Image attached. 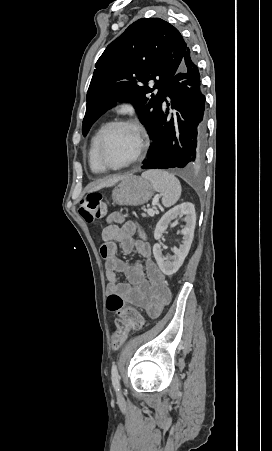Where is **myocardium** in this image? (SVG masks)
Returning a JSON list of instances; mask_svg holds the SVG:
<instances>
[{"mask_svg":"<svg viewBox=\"0 0 272 451\" xmlns=\"http://www.w3.org/2000/svg\"><path fill=\"white\" fill-rule=\"evenodd\" d=\"M116 127L124 128L130 132L131 138H132V151H131V155H130L129 159L127 160V162L124 165H122L121 167L116 168V169H109L106 166H104V164L102 162L101 149L103 147L105 138H106L107 134L109 133V131H111L113 128H116ZM144 137H145V134H144L143 130L132 122L113 121V122L108 123L103 128V130L100 132L97 143H96V152L95 153H96V160H97L98 167H99V172L100 173H106V172L118 173V172H122L125 169H127L137 159V157L141 151V148H142Z\"/></svg>","mask_w":272,"mask_h":451,"instance_id":"myocardium-1","label":"myocardium"}]
</instances>
